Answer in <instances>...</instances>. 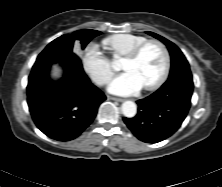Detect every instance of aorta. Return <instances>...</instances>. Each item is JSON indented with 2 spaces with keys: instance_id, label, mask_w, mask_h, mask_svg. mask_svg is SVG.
I'll return each instance as SVG.
<instances>
[{
  "instance_id": "aorta-1",
  "label": "aorta",
  "mask_w": 222,
  "mask_h": 187,
  "mask_svg": "<svg viewBox=\"0 0 222 187\" xmlns=\"http://www.w3.org/2000/svg\"><path fill=\"white\" fill-rule=\"evenodd\" d=\"M122 113L125 117L132 118L136 115L137 106L133 101H125L122 104Z\"/></svg>"
}]
</instances>
